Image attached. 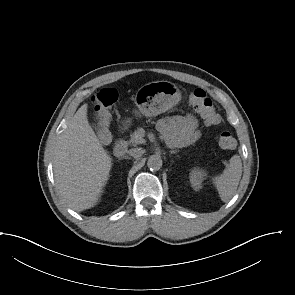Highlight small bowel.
<instances>
[{
    "label": "small bowel",
    "instance_id": "1",
    "mask_svg": "<svg viewBox=\"0 0 295 295\" xmlns=\"http://www.w3.org/2000/svg\"><path fill=\"white\" fill-rule=\"evenodd\" d=\"M157 127L170 146H186L199 137V125L193 116H171L158 121Z\"/></svg>",
    "mask_w": 295,
    "mask_h": 295
}]
</instances>
